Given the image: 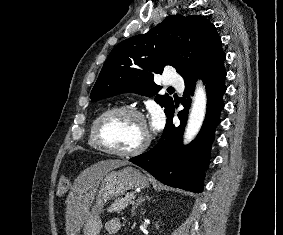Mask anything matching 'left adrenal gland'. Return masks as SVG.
Listing matches in <instances>:
<instances>
[{"instance_id": "1", "label": "left adrenal gland", "mask_w": 283, "mask_h": 235, "mask_svg": "<svg viewBox=\"0 0 283 235\" xmlns=\"http://www.w3.org/2000/svg\"><path fill=\"white\" fill-rule=\"evenodd\" d=\"M146 199H150V197L148 195H145L143 197V195H140L138 198H137V202L136 204L132 207V215L134 216L135 215V210L136 208H138V206L140 204H142V202H144Z\"/></svg>"}]
</instances>
